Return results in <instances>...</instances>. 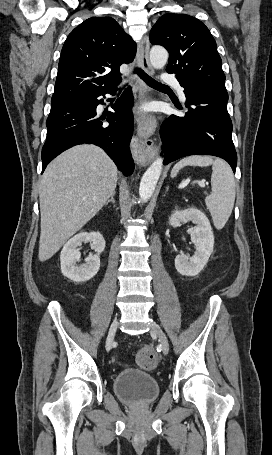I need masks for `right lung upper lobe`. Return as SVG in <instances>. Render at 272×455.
<instances>
[{
    "label": "right lung upper lobe",
    "mask_w": 272,
    "mask_h": 455,
    "mask_svg": "<svg viewBox=\"0 0 272 455\" xmlns=\"http://www.w3.org/2000/svg\"><path fill=\"white\" fill-rule=\"evenodd\" d=\"M135 54V42L113 18L85 20L63 45L51 104L59 105L118 85L120 65L132 62Z\"/></svg>",
    "instance_id": "cb5924a9"
}]
</instances>
